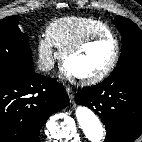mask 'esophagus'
Returning <instances> with one entry per match:
<instances>
[{"label":"esophagus","instance_id":"obj_1","mask_svg":"<svg viewBox=\"0 0 142 142\" xmlns=\"http://www.w3.org/2000/svg\"><path fill=\"white\" fill-rule=\"evenodd\" d=\"M66 92H67V94L69 96L70 101L73 102V100H74V92H73V90L71 88L67 87L66 88Z\"/></svg>","mask_w":142,"mask_h":142}]
</instances>
